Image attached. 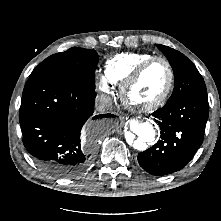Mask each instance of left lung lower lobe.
I'll return each mask as SVG.
<instances>
[{
  "label": "left lung lower lobe",
  "instance_id": "0a47b994",
  "mask_svg": "<svg viewBox=\"0 0 221 221\" xmlns=\"http://www.w3.org/2000/svg\"><path fill=\"white\" fill-rule=\"evenodd\" d=\"M160 125V140L138 154L140 166L156 176L184 168L203 142L209 115L207 93H193L152 114Z\"/></svg>",
  "mask_w": 221,
  "mask_h": 221
}]
</instances>
